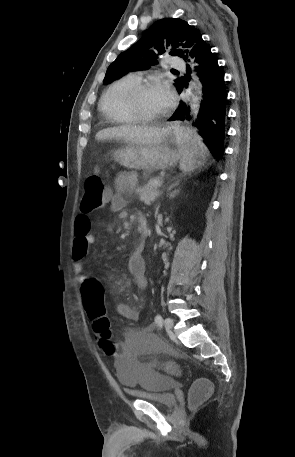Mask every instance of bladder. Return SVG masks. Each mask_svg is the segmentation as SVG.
I'll list each match as a JSON object with an SVG mask.
<instances>
[{
	"instance_id": "31cf9c89",
	"label": "bladder",
	"mask_w": 295,
	"mask_h": 457,
	"mask_svg": "<svg viewBox=\"0 0 295 457\" xmlns=\"http://www.w3.org/2000/svg\"><path fill=\"white\" fill-rule=\"evenodd\" d=\"M172 350L171 345H162L161 342H140L139 345H126L122 358L114 364L115 375L119 383L139 399L164 407L175 406L177 398L170 389L175 377L170 375L165 378V374H158L157 370L153 371L150 366H144V359L139 354L140 351L164 354L163 358L170 362L177 359V354ZM150 362L155 364L157 359L152 357ZM160 365H165V363Z\"/></svg>"
}]
</instances>
